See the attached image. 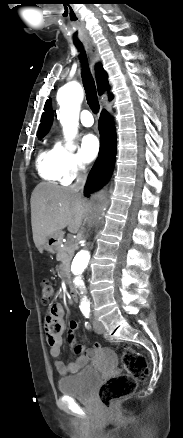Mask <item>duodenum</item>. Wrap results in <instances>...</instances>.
Masks as SVG:
<instances>
[{
    "label": "duodenum",
    "mask_w": 183,
    "mask_h": 438,
    "mask_svg": "<svg viewBox=\"0 0 183 438\" xmlns=\"http://www.w3.org/2000/svg\"><path fill=\"white\" fill-rule=\"evenodd\" d=\"M69 294H70V297L73 301H76L78 299V293L74 287L69 288Z\"/></svg>",
    "instance_id": "obj_1"
}]
</instances>
